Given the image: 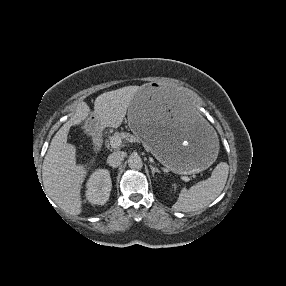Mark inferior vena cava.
I'll return each instance as SVG.
<instances>
[{
  "label": "inferior vena cava",
  "mask_w": 286,
  "mask_h": 286,
  "mask_svg": "<svg viewBox=\"0 0 286 286\" xmlns=\"http://www.w3.org/2000/svg\"><path fill=\"white\" fill-rule=\"evenodd\" d=\"M124 153L117 151L110 154L107 158V163L109 166L116 168L121 165L122 161L124 160Z\"/></svg>",
  "instance_id": "inferior-vena-cava-1"
}]
</instances>
